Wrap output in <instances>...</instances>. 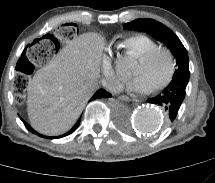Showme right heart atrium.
Returning a JSON list of instances; mask_svg holds the SVG:
<instances>
[{
    "mask_svg": "<svg viewBox=\"0 0 215 183\" xmlns=\"http://www.w3.org/2000/svg\"><path fill=\"white\" fill-rule=\"evenodd\" d=\"M102 67L105 75L109 80V88L115 90L118 86L120 78L118 77L111 56L104 55L102 60Z\"/></svg>",
    "mask_w": 215,
    "mask_h": 183,
    "instance_id": "obj_1",
    "label": "right heart atrium"
}]
</instances>
